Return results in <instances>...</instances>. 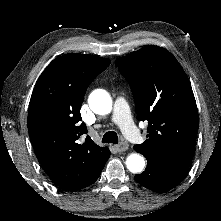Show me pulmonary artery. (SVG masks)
<instances>
[{
    "instance_id": "pulmonary-artery-1",
    "label": "pulmonary artery",
    "mask_w": 221,
    "mask_h": 221,
    "mask_svg": "<svg viewBox=\"0 0 221 221\" xmlns=\"http://www.w3.org/2000/svg\"><path fill=\"white\" fill-rule=\"evenodd\" d=\"M112 122L117 124L132 142L138 143L141 140V135L132 121L128 104L122 97H118L114 103Z\"/></svg>"
}]
</instances>
